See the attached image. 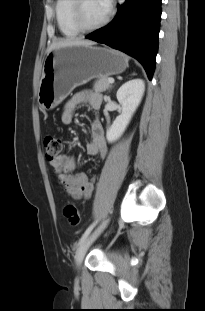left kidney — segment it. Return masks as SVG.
Returning <instances> with one entry per match:
<instances>
[{"label":"left kidney","mask_w":205,"mask_h":311,"mask_svg":"<svg viewBox=\"0 0 205 311\" xmlns=\"http://www.w3.org/2000/svg\"><path fill=\"white\" fill-rule=\"evenodd\" d=\"M144 93V81L133 79L123 84L117 91V100L122 106V112L116 117L112 126L107 130V140H117L125 131L133 113L141 102Z\"/></svg>","instance_id":"obj_1"}]
</instances>
